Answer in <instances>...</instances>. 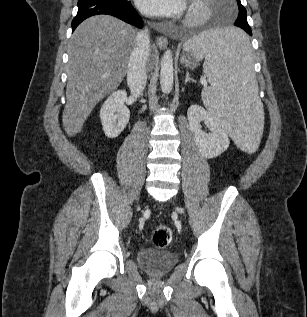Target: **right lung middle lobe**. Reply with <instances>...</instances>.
Masks as SVG:
<instances>
[{
	"label": "right lung middle lobe",
	"instance_id": "right-lung-middle-lobe-1",
	"mask_svg": "<svg viewBox=\"0 0 307 317\" xmlns=\"http://www.w3.org/2000/svg\"><path fill=\"white\" fill-rule=\"evenodd\" d=\"M114 1H122V0H114Z\"/></svg>",
	"mask_w": 307,
	"mask_h": 317
}]
</instances>
